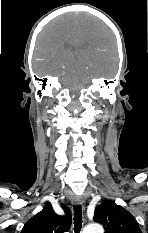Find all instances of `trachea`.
<instances>
[{"label": "trachea", "instance_id": "obj_1", "mask_svg": "<svg viewBox=\"0 0 148 233\" xmlns=\"http://www.w3.org/2000/svg\"><path fill=\"white\" fill-rule=\"evenodd\" d=\"M82 228V208L81 205L74 206V231L79 233Z\"/></svg>", "mask_w": 148, "mask_h": 233}]
</instances>
